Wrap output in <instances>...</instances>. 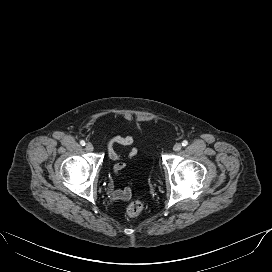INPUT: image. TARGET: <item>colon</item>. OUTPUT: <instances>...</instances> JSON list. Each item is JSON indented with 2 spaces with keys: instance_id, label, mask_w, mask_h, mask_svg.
<instances>
[{
  "instance_id": "1",
  "label": "colon",
  "mask_w": 272,
  "mask_h": 272,
  "mask_svg": "<svg viewBox=\"0 0 272 272\" xmlns=\"http://www.w3.org/2000/svg\"><path fill=\"white\" fill-rule=\"evenodd\" d=\"M143 210V203L139 200L131 202L127 207V215L131 218L136 217Z\"/></svg>"
}]
</instances>
